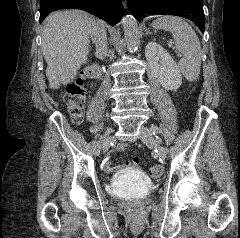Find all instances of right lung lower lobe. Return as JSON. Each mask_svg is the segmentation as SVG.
I'll list each match as a JSON object with an SVG mask.
<instances>
[{"instance_id":"right-lung-lower-lobe-1","label":"right lung lower lobe","mask_w":240,"mask_h":238,"mask_svg":"<svg viewBox=\"0 0 240 238\" xmlns=\"http://www.w3.org/2000/svg\"><path fill=\"white\" fill-rule=\"evenodd\" d=\"M80 8L115 25L122 19L121 0H40V23L45 17L59 9Z\"/></svg>"}]
</instances>
